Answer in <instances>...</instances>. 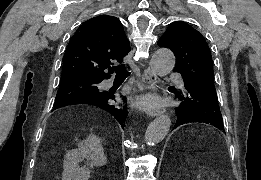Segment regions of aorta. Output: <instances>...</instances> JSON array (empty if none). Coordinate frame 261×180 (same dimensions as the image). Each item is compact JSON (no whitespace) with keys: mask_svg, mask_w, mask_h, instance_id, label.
<instances>
[{"mask_svg":"<svg viewBox=\"0 0 261 180\" xmlns=\"http://www.w3.org/2000/svg\"><path fill=\"white\" fill-rule=\"evenodd\" d=\"M151 66L157 75L163 77L168 75L175 66L173 52L166 48L158 49L151 58ZM171 119L168 115H162L152 121L145 133L148 145L153 146L160 143L169 132Z\"/></svg>","mask_w":261,"mask_h":180,"instance_id":"aorta-1","label":"aorta"}]
</instances>
